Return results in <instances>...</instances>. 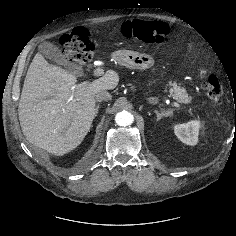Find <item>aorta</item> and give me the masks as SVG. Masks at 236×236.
<instances>
[{
	"label": "aorta",
	"instance_id": "aorta-1",
	"mask_svg": "<svg viewBox=\"0 0 236 236\" xmlns=\"http://www.w3.org/2000/svg\"><path fill=\"white\" fill-rule=\"evenodd\" d=\"M134 117L133 115L128 111H122L116 114L115 116V122L119 126H129L133 123Z\"/></svg>",
	"mask_w": 236,
	"mask_h": 236
}]
</instances>
